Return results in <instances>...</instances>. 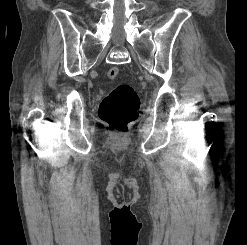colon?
Wrapping results in <instances>:
<instances>
[{
  "mask_svg": "<svg viewBox=\"0 0 247 245\" xmlns=\"http://www.w3.org/2000/svg\"><path fill=\"white\" fill-rule=\"evenodd\" d=\"M108 78L115 80L119 69L111 67ZM140 99L135 89L127 84H121L111 90L102 100L98 115L110 130L124 132L136 121L139 115Z\"/></svg>",
  "mask_w": 247,
  "mask_h": 245,
  "instance_id": "colon-1",
  "label": "colon"
}]
</instances>
